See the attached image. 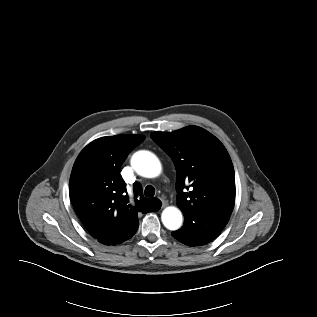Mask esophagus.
Masks as SVG:
<instances>
[{
	"label": "esophagus",
	"mask_w": 317,
	"mask_h": 317,
	"mask_svg": "<svg viewBox=\"0 0 317 317\" xmlns=\"http://www.w3.org/2000/svg\"><path fill=\"white\" fill-rule=\"evenodd\" d=\"M161 201H162V207H166L168 205L167 201H165L163 199H161Z\"/></svg>",
	"instance_id": "1"
}]
</instances>
